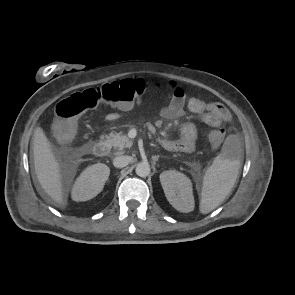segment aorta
<instances>
[{"instance_id":"obj_1","label":"aorta","mask_w":295,"mask_h":295,"mask_svg":"<svg viewBox=\"0 0 295 295\" xmlns=\"http://www.w3.org/2000/svg\"><path fill=\"white\" fill-rule=\"evenodd\" d=\"M150 165L147 162L138 163L136 166V174L140 177H147L150 174Z\"/></svg>"}]
</instances>
